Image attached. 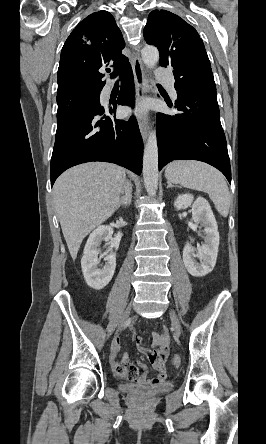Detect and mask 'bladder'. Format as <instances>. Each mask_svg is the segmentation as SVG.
<instances>
[{
	"mask_svg": "<svg viewBox=\"0 0 266 444\" xmlns=\"http://www.w3.org/2000/svg\"><path fill=\"white\" fill-rule=\"evenodd\" d=\"M173 385L171 383H163L155 386H144L136 383H127L124 386V391L128 394H133L139 397H152L157 394H162L171 391Z\"/></svg>",
	"mask_w": 266,
	"mask_h": 444,
	"instance_id": "bladder-1",
	"label": "bladder"
}]
</instances>
